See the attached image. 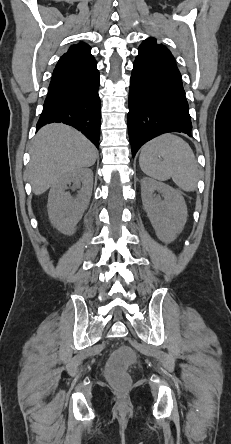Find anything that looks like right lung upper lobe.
Segmentation results:
<instances>
[{"mask_svg": "<svg viewBox=\"0 0 231 444\" xmlns=\"http://www.w3.org/2000/svg\"><path fill=\"white\" fill-rule=\"evenodd\" d=\"M90 50L91 47L83 42L71 46L59 59L52 78L83 72L95 66L97 62Z\"/></svg>", "mask_w": 231, "mask_h": 444, "instance_id": "cb5924a9", "label": "right lung upper lobe"}]
</instances>
